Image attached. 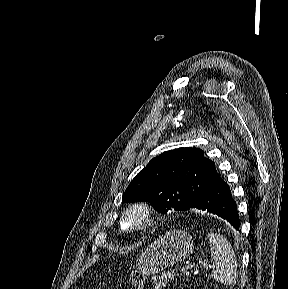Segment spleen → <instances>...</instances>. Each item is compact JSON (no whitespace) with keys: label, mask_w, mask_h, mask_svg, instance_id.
<instances>
[{"label":"spleen","mask_w":288,"mask_h":289,"mask_svg":"<svg viewBox=\"0 0 288 289\" xmlns=\"http://www.w3.org/2000/svg\"><path fill=\"white\" fill-rule=\"evenodd\" d=\"M212 277L221 284L234 285L238 280L237 259L230 242L220 234H209Z\"/></svg>","instance_id":"1"}]
</instances>
